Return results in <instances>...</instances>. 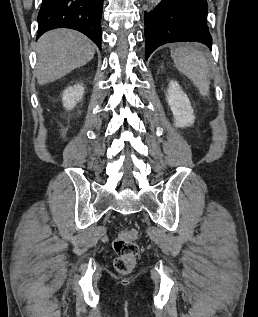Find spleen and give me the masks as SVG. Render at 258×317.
<instances>
[{"label":"spleen","mask_w":258,"mask_h":317,"mask_svg":"<svg viewBox=\"0 0 258 317\" xmlns=\"http://www.w3.org/2000/svg\"><path fill=\"white\" fill-rule=\"evenodd\" d=\"M171 56L174 58L178 70L193 80L203 96H208L210 68L204 52L194 48L191 44H181V46L171 48Z\"/></svg>","instance_id":"obj_1"}]
</instances>
